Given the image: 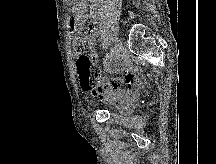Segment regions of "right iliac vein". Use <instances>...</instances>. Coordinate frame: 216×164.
<instances>
[{"instance_id":"right-iliac-vein-1","label":"right iliac vein","mask_w":216,"mask_h":164,"mask_svg":"<svg viewBox=\"0 0 216 164\" xmlns=\"http://www.w3.org/2000/svg\"><path fill=\"white\" fill-rule=\"evenodd\" d=\"M122 51V44L119 40L116 41L115 47H114V60L118 61L121 55Z\"/></svg>"}]
</instances>
